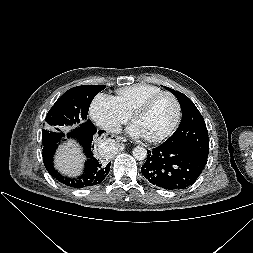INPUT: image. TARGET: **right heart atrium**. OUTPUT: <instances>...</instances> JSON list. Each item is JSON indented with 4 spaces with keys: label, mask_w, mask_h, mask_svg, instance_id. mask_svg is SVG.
<instances>
[{
    "label": "right heart atrium",
    "mask_w": 253,
    "mask_h": 253,
    "mask_svg": "<svg viewBox=\"0 0 253 253\" xmlns=\"http://www.w3.org/2000/svg\"><path fill=\"white\" fill-rule=\"evenodd\" d=\"M90 116L97 126L109 133H117L129 118L120 110L113 97L104 93L94 97L90 106Z\"/></svg>",
    "instance_id": "1"
}]
</instances>
